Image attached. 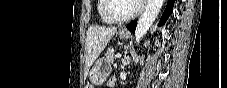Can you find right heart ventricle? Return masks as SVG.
I'll return each instance as SVG.
<instances>
[{
    "instance_id": "1",
    "label": "right heart ventricle",
    "mask_w": 227,
    "mask_h": 88,
    "mask_svg": "<svg viewBox=\"0 0 227 88\" xmlns=\"http://www.w3.org/2000/svg\"><path fill=\"white\" fill-rule=\"evenodd\" d=\"M105 0H98V12L100 19L105 23H112L111 20L104 13Z\"/></svg>"
}]
</instances>
